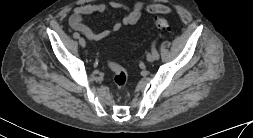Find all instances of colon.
<instances>
[{
	"label": "colon",
	"instance_id": "5ec220e1",
	"mask_svg": "<svg viewBox=\"0 0 253 138\" xmlns=\"http://www.w3.org/2000/svg\"><path fill=\"white\" fill-rule=\"evenodd\" d=\"M154 25L157 29L165 32H170L172 27L169 21L163 17L156 16L153 19ZM110 70L113 72V80L119 89H124L127 84V73L122 66L113 61L107 63Z\"/></svg>",
	"mask_w": 253,
	"mask_h": 138
}]
</instances>
